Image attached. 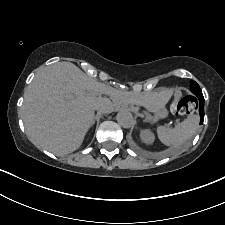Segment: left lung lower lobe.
I'll return each instance as SVG.
<instances>
[{
    "instance_id": "0a47b994",
    "label": "left lung lower lobe",
    "mask_w": 225,
    "mask_h": 225,
    "mask_svg": "<svg viewBox=\"0 0 225 225\" xmlns=\"http://www.w3.org/2000/svg\"><path fill=\"white\" fill-rule=\"evenodd\" d=\"M196 97L199 101L200 124H202L204 120V97L203 95H198Z\"/></svg>"
}]
</instances>
